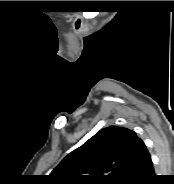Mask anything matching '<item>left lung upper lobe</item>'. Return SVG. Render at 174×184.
Returning a JSON list of instances; mask_svg holds the SVG:
<instances>
[{"mask_svg": "<svg viewBox=\"0 0 174 184\" xmlns=\"http://www.w3.org/2000/svg\"><path fill=\"white\" fill-rule=\"evenodd\" d=\"M141 142L132 130L104 128L67 155L50 176L57 184H124Z\"/></svg>", "mask_w": 174, "mask_h": 184, "instance_id": "1", "label": "left lung upper lobe"}]
</instances>
